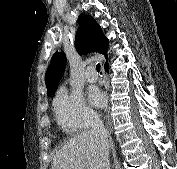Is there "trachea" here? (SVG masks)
Here are the masks:
<instances>
[{"instance_id": "3493384b", "label": "trachea", "mask_w": 177, "mask_h": 169, "mask_svg": "<svg viewBox=\"0 0 177 169\" xmlns=\"http://www.w3.org/2000/svg\"><path fill=\"white\" fill-rule=\"evenodd\" d=\"M96 70H97L98 72H100V64H97V65H96Z\"/></svg>"}]
</instances>
